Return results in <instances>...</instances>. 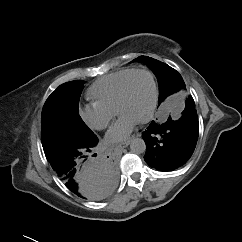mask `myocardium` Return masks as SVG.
Returning <instances> with one entry per match:
<instances>
[{
  "instance_id": "myocardium-1",
  "label": "myocardium",
  "mask_w": 242,
  "mask_h": 242,
  "mask_svg": "<svg viewBox=\"0 0 242 242\" xmlns=\"http://www.w3.org/2000/svg\"><path fill=\"white\" fill-rule=\"evenodd\" d=\"M139 73L147 74L152 83V102H151L150 109H149L147 115L144 118H142L140 121H138V123H140V124H145V123H148L149 121H151L152 118L154 117L155 111L157 108V104H158V97H159L157 80L155 78V75L148 69H135L124 79V81L120 87L119 93H118V98H117V103H116V113L119 114V110H120L122 103L125 100L128 85H129L131 78L134 75L139 74Z\"/></svg>"
}]
</instances>
